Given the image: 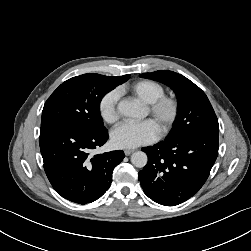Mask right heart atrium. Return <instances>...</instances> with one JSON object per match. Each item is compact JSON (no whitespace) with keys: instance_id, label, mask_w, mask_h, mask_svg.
I'll use <instances>...</instances> for the list:
<instances>
[{"instance_id":"obj_1","label":"right heart atrium","mask_w":251,"mask_h":251,"mask_svg":"<svg viewBox=\"0 0 251 251\" xmlns=\"http://www.w3.org/2000/svg\"><path fill=\"white\" fill-rule=\"evenodd\" d=\"M119 97L120 93L117 89H112L101 97L98 109L104 122L112 124L117 121L119 117L117 109Z\"/></svg>"}]
</instances>
